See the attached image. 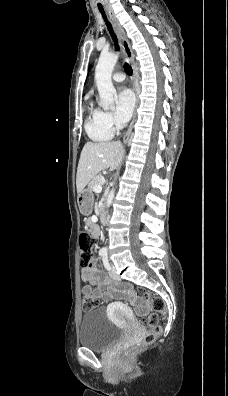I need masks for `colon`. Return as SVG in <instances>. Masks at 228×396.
I'll use <instances>...</instances> for the list:
<instances>
[{
    "instance_id": "1",
    "label": "colon",
    "mask_w": 228,
    "mask_h": 396,
    "mask_svg": "<svg viewBox=\"0 0 228 396\" xmlns=\"http://www.w3.org/2000/svg\"><path fill=\"white\" fill-rule=\"evenodd\" d=\"M78 243L81 266L83 268H88L94 262V256L92 251L90 250L89 235L85 229L81 230L78 238ZM143 300L146 305L151 309V312L144 316L143 322L147 326V330L142 335V337L134 344L132 350H138L142 347L152 344L161 331L158 313H162L165 310V304L163 300L155 296L151 292H145L143 294ZM99 305L100 301L94 296L90 294H85L83 296V310L90 311L98 308Z\"/></svg>"
}]
</instances>
